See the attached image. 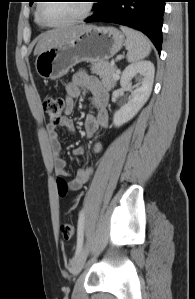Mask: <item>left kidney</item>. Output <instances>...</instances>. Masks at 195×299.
<instances>
[{"label": "left kidney", "instance_id": "1", "mask_svg": "<svg viewBox=\"0 0 195 299\" xmlns=\"http://www.w3.org/2000/svg\"><path fill=\"white\" fill-rule=\"evenodd\" d=\"M154 73L155 68L150 61H141L126 67L120 79L121 87L129 88L134 78L140 83L131 91V99L114 113V126L120 127L127 123L144 106L152 91Z\"/></svg>", "mask_w": 195, "mask_h": 299}]
</instances>
